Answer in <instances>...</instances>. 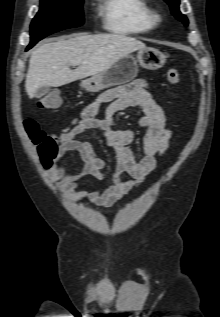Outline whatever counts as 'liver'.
Masks as SVG:
<instances>
[{"mask_svg": "<svg viewBox=\"0 0 220 317\" xmlns=\"http://www.w3.org/2000/svg\"><path fill=\"white\" fill-rule=\"evenodd\" d=\"M145 44L121 34H77L42 44L30 56L25 90L30 99L43 86L60 87L109 69ZM70 66H78L71 70Z\"/></svg>", "mask_w": 220, "mask_h": 317, "instance_id": "liver-1", "label": "liver"}]
</instances>
